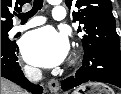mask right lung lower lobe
<instances>
[{
  "mask_svg": "<svg viewBox=\"0 0 121 94\" xmlns=\"http://www.w3.org/2000/svg\"><path fill=\"white\" fill-rule=\"evenodd\" d=\"M17 50L18 46L15 42L9 44L1 43V76L31 90L34 94H41L43 88L39 85L31 84L24 77L21 67L17 63Z\"/></svg>",
  "mask_w": 121,
  "mask_h": 94,
  "instance_id": "right-lung-lower-lobe-1",
  "label": "right lung lower lobe"
}]
</instances>
